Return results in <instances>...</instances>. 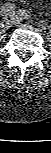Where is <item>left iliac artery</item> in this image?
I'll return each instance as SVG.
<instances>
[{"mask_svg": "<svg viewBox=\"0 0 51 153\" xmlns=\"http://www.w3.org/2000/svg\"><path fill=\"white\" fill-rule=\"evenodd\" d=\"M21 16H22L21 18H23L25 20H28L31 18V15L26 10L21 11ZM41 22L43 23L44 21H41ZM42 25H44V23Z\"/></svg>", "mask_w": 51, "mask_h": 153, "instance_id": "obj_1", "label": "left iliac artery"}]
</instances>
